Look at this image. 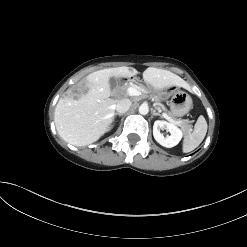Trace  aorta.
Segmentation results:
<instances>
[{"label":"aorta","instance_id":"762f6f07","mask_svg":"<svg viewBox=\"0 0 247 247\" xmlns=\"http://www.w3.org/2000/svg\"><path fill=\"white\" fill-rule=\"evenodd\" d=\"M148 112H149V107H148L147 104L140 105V107H139V113L141 115H146V114H148Z\"/></svg>","mask_w":247,"mask_h":247}]
</instances>
